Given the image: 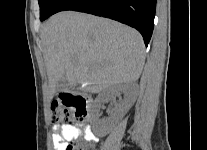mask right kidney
<instances>
[{"mask_svg":"<svg viewBox=\"0 0 207 150\" xmlns=\"http://www.w3.org/2000/svg\"><path fill=\"white\" fill-rule=\"evenodd\" d=\"M121 93H127V87L124 85H116L111 87L106 92L100 94L96 100H95V109L98 111L102 104L106 102L108 99H114L116 96H119ZM131 104L127 99H125L123 102H121L117 107L115 111L116 120H120L123 118V116L127 113L129 110Z\"/></svg>","mask_w":207,"mask_h":150,"instance_id":"ca27d5eb","label":"right kidney"}]
</instances>
